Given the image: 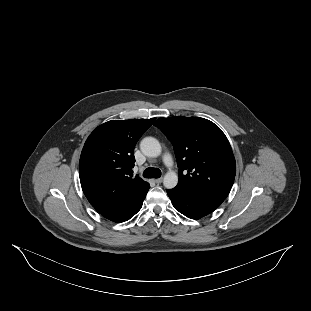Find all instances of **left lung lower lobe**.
<instances>
[{
  "instance_id": "1",
  "label": "left lung lower lobe",
  "mask_w": 311,
  "mask_h": 311,
  "mask_svg": "<svg viewBox=\"0 0 311 311\" xmlns=\"http://www.w3.org/2000/svg\"><path fill=\"white\" fill-rule=\"evenodd\" d=\"M167 194L173 206L180 213L192 219H200L213 212L224 201L215 197L198 195L177 186L167 190Z\"/></svg>"
}]
</instances>
